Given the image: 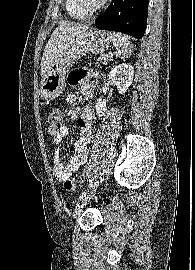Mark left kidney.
<instances>
[{
  "instance_id": "left-kidney-1",
  "label": "left kidney",
  "mask_w": 195,
  "mask_h": 270,
  "mask_svg": "<svg viewBox=\"0 0 195 270\" xmlns=\"http://www.w3.org/2000/svg\"><path fill=\"white\" fill-rule=\"evenodd\" d=\"M134 76V69L128 63H122L113 67L108 75L109 81L117 87L118 93L123 94L131 85ZM96 113L99 117L105 115L107 111L106 102L98 99L95 105Z\"/></svg>"
}]
</instances>
